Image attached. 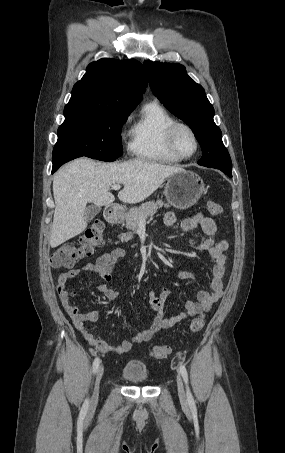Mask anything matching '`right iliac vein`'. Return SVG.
Segmentation results:
<instances>
[{"label":"right iliac vein","mask_w":285,"mask_h":453,"mask_svg":"<svg viewBox=\"0 0 285 453\" xmlns=\"http://www.w3.org/2000/svg\"><path fill=\"white\" fill-rule=\"evenodd\" d=\"M103 373H104V368H103V366H100L97 369V373H96L94 390H93V394H92V398H91L90 408H94L98 402L100 382H101Z\"/></svg>","instance_id":"right-iliac-vein-1"}]
</instances>
